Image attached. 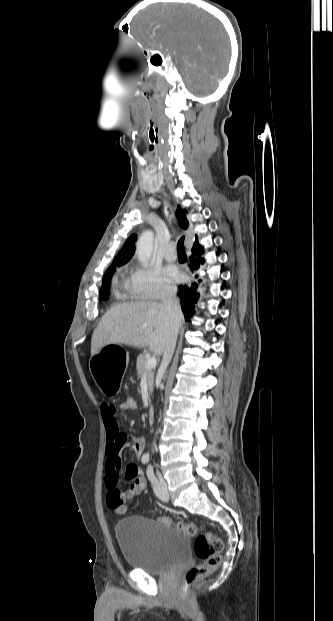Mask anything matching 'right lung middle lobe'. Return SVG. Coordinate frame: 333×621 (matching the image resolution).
I'll return each mask as SVG.
<instances>
[{"label":"right lung middle lobe","mask_w":333,"mask_h":621,"mask_svg":"<svg viewBox=\"0 0 333 621\" xmlns=\"http://www.w3.org/2000/svg\"><path fill=\"white\" fill-rule=\"evenodd\" d=\"M115 272V267H110L103 276L102 288L99 292L100 300H107L110 294V280Z\"/></svg>","instance_id":"obj_1"}]
</instances>
